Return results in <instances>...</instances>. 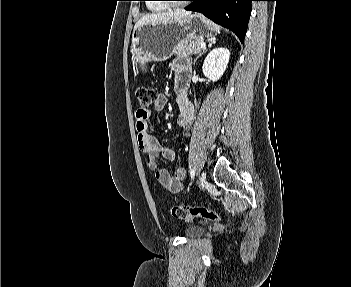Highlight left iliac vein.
Wrapping results in <instances>:
<instances>
[{
  "mask_svg": "<svg viewBox=\"0 0 351 287\" xmlns=\"http://www.w3.org/2000/svg\"><path fill=\"white\" fill-rule=\"evenodd\" d=\"M200 181H201L202 184L205 183V181H206V176H205L204 173H201V175H200Z\"/></svg>",
  "mask_w": 351,
  "mask_h": 287,
  "instance_id": "4c4485c4",
  "label": "left iliac vein"
}]
</instances>
